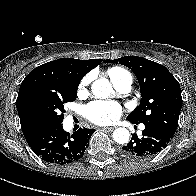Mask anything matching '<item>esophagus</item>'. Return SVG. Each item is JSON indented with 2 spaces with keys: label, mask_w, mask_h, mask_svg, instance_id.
I'll list each match as a JSON object with an SVG mask.
<instances>
[{
  "label": "esophagus",
  "mask_w": 196,
  "mask_h": 196,
  "mask_svg": "<svg viewBox=\"0 0 196 196\" xmlns=\"http://www.w3.org/2000/svg\"><path fill=\"white\" fill-rule=\"evenodd\" d=\"M103 130L112 131V130H114V127H105V128H103Z\"/></svg>",
  "instance_id": "1"
}]
</instances>
